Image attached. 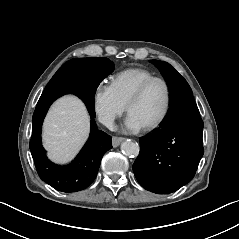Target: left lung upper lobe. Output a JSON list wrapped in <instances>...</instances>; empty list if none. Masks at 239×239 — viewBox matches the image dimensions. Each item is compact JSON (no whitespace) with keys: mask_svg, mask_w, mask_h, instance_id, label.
I'll use <instances>...</instances> for the list:
<instances>
[{"mask_svg":"<svg viewBox=\"0 0 239 239\" xmlns=\"http://www.w3.org/2000/svg\"><path fill=\"white\" fill-rule=\"evenodd\" d=\"M159 68L167 85L169 86L171 99L170 104L186 96H192V90L187 81L167 62L151 60Z\"/></svg>","mask_w":239,"mask_h":239,"instance_id":"1","label":"left lung upper lobe"}]
</instances>
